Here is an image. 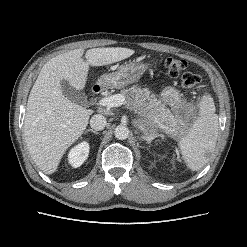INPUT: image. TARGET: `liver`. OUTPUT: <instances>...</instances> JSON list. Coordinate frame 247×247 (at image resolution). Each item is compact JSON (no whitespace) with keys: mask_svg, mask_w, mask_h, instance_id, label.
<instances>
[{"mask_svg":"<svg viewBox=\"0 0 247 247\" xmlns=\"http://www.w3.org/2000/svg\"><path fill=\"white\" fill-rule=\"evenodd\" d=\"M75 49L51 58L41 69L28 97L24 120L25 141L36 165L45 174L54 173L66 150L88 125L90 109L74 103L62 92L65 80L74 89L85 88L89 66L124 60L135 53L121 47Z\"/></svg>","mask_w":247,"mask_h":247,"instance_id":"1","label":"liver"}]
</instances>
